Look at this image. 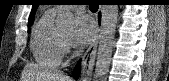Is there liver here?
<instances>
[{
    "label": "liver",
    "instance_id": "obj_1",
    "mask_svg": "<svg viewBox=\"0 0 169 81\" xmlns=\"http://www.w3.org/2000/svg\"><path fill=\"white\" fill-rule=\"evenodd\" d=\"M27 81H71L70 77L59 72L39 71L33 65L27 66Z\"/></svg>",
    "mask_w": 169,
    "mask_h": 81
}]
</instances>
